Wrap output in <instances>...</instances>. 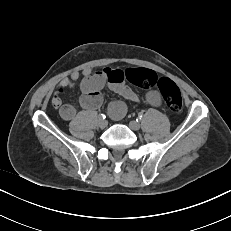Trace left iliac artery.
I'll return each instance as SVG.
<instances>
[{
	"label": "left iliac artery",
	"mask_w": 231,
	"mask_h": 231,
	"mask_svg": "<svg viewBox=\"0 0 231 231\" xmlns=\"http://www.w3.org/2000/svg\"><path fill=\"white\" fill-rule=\"evenodd\" d=\"M138 117H139V119H142L143 118V113H139Z\"/></svg>",
	"instance_id": "obj_1"
}]
</instances>
